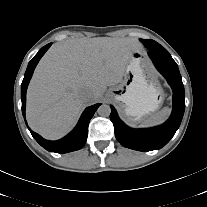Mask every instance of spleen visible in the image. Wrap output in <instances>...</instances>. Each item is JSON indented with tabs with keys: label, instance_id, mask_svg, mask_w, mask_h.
<instances>
[{
	"label": "spleen",
	"instance_id": "3e777b00",
	"mask_svg": "<svg viewBox=\"0 0 207 207\" xmlns=\"http://www.w3.org/2000/svg\"><path fill=\"white\" fill-rule=\"evenodd\" d=\"M171 109L164 107L162 110L151 115L149 118L145 119L140 125L141 126H154L163 123L170 115Z\"/></svg>",
	"mask_w": 207,
	"mask_h": 207
}]
</instances>
